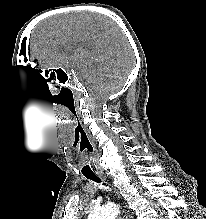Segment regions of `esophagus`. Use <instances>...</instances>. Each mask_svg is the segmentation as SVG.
Here are the masks:
<instances>
[{
	"mask_svg": "<svg viewBox=\"0 0 206 219\" xmlns=\"http://www.w3.org/2000/svg\"><path fill=\"white\" fill-rule=\"evenodd\" d=\"M103 180H106V178L103 177ZM107 182H108V180H107ZM115 192L118 195V198H120V195L116 189H115ZM123 214H124V219H133L132 215L125 209V207L123 209Z\"/></svg>",
	"mask_w": 206,
	"mask_h": 219,
	"instance_id": "1",
	"label": "esophagus"
}]
</instances>
